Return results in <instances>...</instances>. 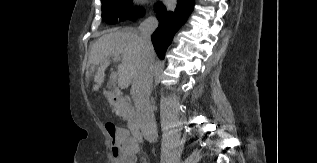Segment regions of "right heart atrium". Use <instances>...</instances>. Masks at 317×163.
I'll use <instances>...</instances> for the list:
<instances>
[{
	"label": "right heart atrium",
	"instance_id": "d8ad5b80",
	"mask_svg": "<svg viewBox=\"0 0 317 163\" xmlns=\"http://www.w3.org/2000/svg\"><path fill=\"white\" fill-rule=\"evenodd\" d=\"M145 2V0H131L133 6L141 5Z\"/></svg>",
	"mask_w": 317,
	"mask_h": 163
}]
</instances>
